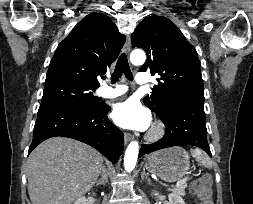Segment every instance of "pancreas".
Returning <instances> with one entry per match:
<instances>
[{"instance_id": "obj_1", "label": "pancreas", "mask_w": 253, "mask_h": 204, "mask_svg": "<svg viewBox=\"0 0 253 204\" xmlns=\"http://www.w3.org/2000/svg\"><path fill=\"white\" fill-rule=\"evenodd\" d=\"M187 187V184L180 185L178 187H175L171 189V191L175 194H178L180 196H185V188Z\"/></svg>"}]
</instances>
